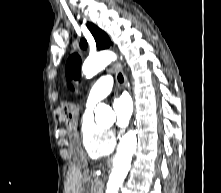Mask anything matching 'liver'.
<instances>
[{
    "label": "liver",
    "instance_id": "liver-1",
    "mask_svg": "<svg viewBox=\"0 0 221 193\" xmlns=\"http://www.w3.org/2000/svg\"><path fill=\"white\" fill-rule=\"evenodd\" d=\"M83 180L84 175L81 171L79 169H74L70 175L69 193H79Z\"/></svg>",
    "mask_w": 221,
    "mask_h": 193
}]
</instances>
